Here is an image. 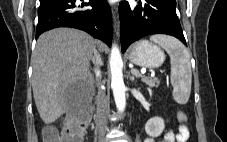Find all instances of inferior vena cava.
<instances>
[{
    "label": "inferior vena cava",
    "instance_id": "inferior-vena-cava-1",
    "mask_svg": "<svg viewBox=\"0 0 227 142\" xmlns=\"http://www.w3.org/2000/svg\"><path fill=\"white\" fill-rule=\"evenodd\" d=\"M96 73V80L98 84L101 81V71L99 67L95 68ZM96 105H97V112H96V124L98 129V135L100 142L103 141L104 136L107 131V120L106 115L109 111V100L105 95V92L102 89H98V93L96 96Z\"/></svg>",
    "mask_w": 227,
    "mask_h": 142
}]
</instances>
